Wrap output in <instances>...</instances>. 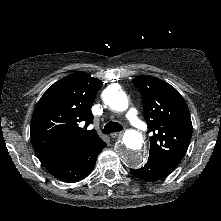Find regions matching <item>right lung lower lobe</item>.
Listing matches in <instances>:
<instances>
[{
    "instance_id": "98d812e1",
    "label": "right lung lower lobe",
    "mask_w": 221,
    "mask_h": 221,
    "mask_svg": "<svg viewBox=\"0 0 221 221\" xmlns=\"http://www.w3.org/2000/svg\"><path fill=\"white\" fill-rule=\"evenodd\" d=\"M104 147H106V143L101 139L93 145L84 147L77 153L42 163L57 179L69 183L78 182L92 172L97 156Z\"/></svg>"
}]
</instances>
